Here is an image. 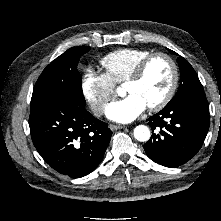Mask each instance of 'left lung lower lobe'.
<instances>
[{
  "mask_svg": "<svg viewBox=\"0 0 221 221\" xmlns=\"http://www.w3.org/2000/svg\"><path fill=\"white\" fill-rule=\"evenodd\" d=\"M147 121L153 131L159 130L143 145L147 156L163 166L178 167L196 155L207 135V99H186L166 106Z\"/></svg>",
  "mask_w": 221,
  "mask_h": 221,
  "instance_id": "left-lung-lower-lobe-1",
  "label": "left lung lower lobe"
}]
</instances>
